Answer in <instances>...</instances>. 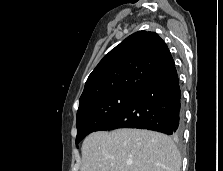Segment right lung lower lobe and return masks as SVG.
Wrapping results in <instances>:
<instances>
[{"mask_svg":"<svg viewBox=\"0 0 223 171\" xmlns=\"http://www.w3.org/2000/svg\"><path fill=\"white\" fill-rule=\"evenodd\" d=\"M140 128L176 138L183 130L181 90L175 66L141 90L118 114L98 128Z\"/></svg>","mask_w":223,"mask_h":171,"instance_id":"obj_1","label":"right lung lower lobe"}]
</instances>
